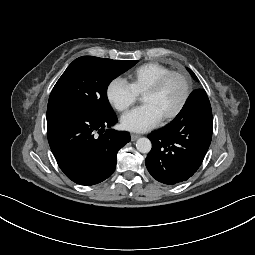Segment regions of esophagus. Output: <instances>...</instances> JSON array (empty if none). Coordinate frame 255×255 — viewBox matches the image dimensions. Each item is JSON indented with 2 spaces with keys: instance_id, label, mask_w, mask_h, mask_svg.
I'll use <instances>...</instances> for the list:
<instances>
[{
  "instance_id": "esophagus-1",
  "label": "esophagus",
  "mask_w": 255,
  "mask_h": 255,
  "mask_svg": "<svg viewBox=\"0 0 255 255\" xmlns=\"http://www.w3.org/2000/svg\"><path fill=\"white\" fill-rule=\"evenodd\" d=\"M139 138V135L137 134H131V141H135Z\"/></svg>"
}]
</instances>
